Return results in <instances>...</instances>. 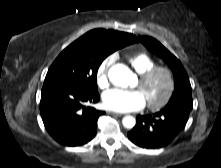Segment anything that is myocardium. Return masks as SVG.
Here are the masks:
<instances>
[{"label":"myocardium","mask_w":221,"mask_h":168,"mask_svg":"<svg viewBox=\"0 0 221 168\" xmlns=\"http://www.w3.org/2000/svg\"><path fill=\"white\" fill-rule=\"evenodd\" d=\"M164 74L167 79V90L161 100L158 102H147V106L151 110H159L165 107L171 100L176 86L175 76L171 68L167 66L157 65L146 72L140 74L139 81L141 84H146L152 80L157 74Z\"/></svg>","instance_id":"myocardium-1"}]
</instances>
